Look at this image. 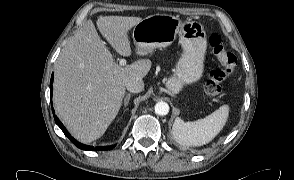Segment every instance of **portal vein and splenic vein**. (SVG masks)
<instances>
[{"instance_id": "1", "label": "portal vein and splenic vein", "mask_w": 294, "mask_h": 180, "mask_svg": "<svg viewBox=\"0 0 294 180\" xmlns=\"http://www.w3.org/2000/svg\"><path fill=\"white\" fill-rule=\"evenodd\" d=\"M119 65L120 66H125L126 65V60L123 59V58L119 59Z\"/></svg>"}]
</instances>
